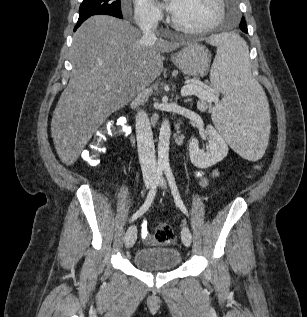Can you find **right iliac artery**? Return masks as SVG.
Listing matches in <instances>:
<instances>
[{
	"mask_svg": "<svg viewBox=\"0 0 307 317\" xmlns=\"http://www.w3.org/2000/svg\"><path fill=\"white\" fill-rule=\"evenodd\" d=\"M163 169L164 168L162 166L157 167L155 177H154V182L151 185V188H150L149 193L146 197V200H145L144 204L142 205V207L132 216L131 221L137 219L139 216L144 214L148 210V208L150 207V205L153 202V199L155 197V194L157 191V186L161 180Z\"/></svg>",
	"mask_w": 307,
	"mask_h": 317,
	"instance_id": "obj_1",
	"label": "right iliac artery"
}]
</instances>
